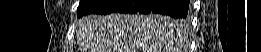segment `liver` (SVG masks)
I'll use <instances>...</instances> for the list:
<instances>
[{"label": "liver", "mask_w": 261, "mask_h": 52, "mask_svg": "<svg viewBox=\"0 0 261 52\" xmlns=\"http://www.w3.org/2000/svg\"><path fill=\"white\" fill-rule=\"evenodd\" d=\"M185 26L155 14L88 15L80 32L85 52H175Z\"/></svg>", "instance_id": "1"}]
</instances>
